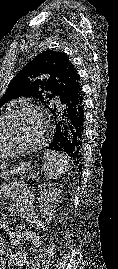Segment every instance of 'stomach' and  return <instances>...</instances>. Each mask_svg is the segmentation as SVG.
I'll list each match as a JSON object with an SVG mask.
<instances>
[{"instance_id": "0dacf381", "label": "stomach", "mask_w": 118, "mask_h": 269, "mask_svg": "<svg viewBox=\"0 0 118 269\" xmlns=\"http://www.w3.org/2000/svg\"><path fill=\"white\" fill-rule=\"evenodd\" d=\"M29 170H31V164L30 162H20L18 165L14 166L13 168H11V170H6V171H2V173L0 172V178L2 179H7V177L9 176H14V175H22L27 173ZM7 191V187H2L0 190V197L2 193L6 194Z\"/></svg>"}]
</instances>
